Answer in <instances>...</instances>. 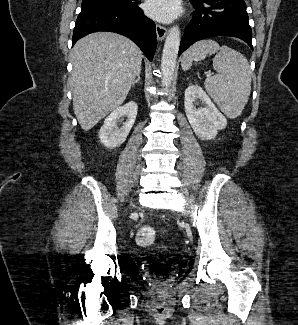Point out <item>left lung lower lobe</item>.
I'll return each mask as SVG.
<instances>
[{
  "label": "left lung lower lobe",
  "mask_w": 298,
  "mask_h": 325,
  "mask_svg": "<svg viewBox=\"0 0 298 325\" xmlns=\"http://www.w3.org/2000/svg\"><path fill=\"white\" fill-rule=\"evenodd\" d=\"M194 17L185 28L179 54L196 41L214 36H232L252 47V31L244 0H197Z\"/></svg>",
  "instance_id": "1"
}]
</instances>
